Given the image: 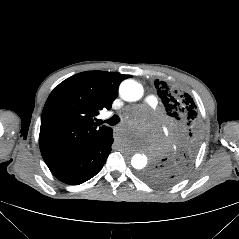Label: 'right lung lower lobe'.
Listing matches in <instances>:
<instances>
[{
	"instance_id": "right-lung-lower-lobe-1",
	"label": "right lung lower lobe",
	"mask_w": 239,
	"mask_h": 239,
	"mask_svg": "<svg viewBox=\"0 0 239 239\" xmlns=\"http://www.w3.org/2000/svg\"><path fill=\"white\" fill-rule=\"evenodd\" d=\"M112 134L113 130L109 128L80 151L47 166L60 181L70 185L81 184L102 169L111 151Z\"/></svg>"
}]
</instances>
